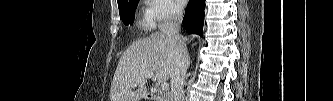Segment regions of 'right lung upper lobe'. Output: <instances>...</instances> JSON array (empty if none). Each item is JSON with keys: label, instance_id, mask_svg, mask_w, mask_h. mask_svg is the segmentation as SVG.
I'll use <instances>...</instances> for the list:
<instances>
[{"label": "right lung upper lobe", "instance_id": "cb5924a9", "mask_svg": "<svg viewBox=\"0 0 333 101\" xmlns=\"http://www.w3.org/2000/svg\"><path fill=\"white\" fill-rule=\"evenodd\" d=\"M122 0H117L118 3H120Z\"/></svg>", "mask_w": 333, "mask_h": 101}]
</instances>
